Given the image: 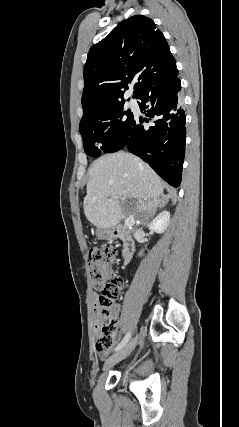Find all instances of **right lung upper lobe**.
I'll return each mask as SVG.
<instances>
[{
    "label": "right lung upper lobe",
    "instance_id": "obj_1",
    "mask_svg": "<svg viewBox=\"0 0 239 427\" xmlns=\"http://www.w3.org/2000/svg\"><path fill=\"white\" fill-rule=\"evenodd\" d=\"M177 72L176 61L154 22L132 16L91 47L83 71V112L123 100L131 82L136 81L133 97L137 98L144 89Z\"/></svg>",
    "mask_w": 239,
    "mask_h": 427
}]
</instances>
